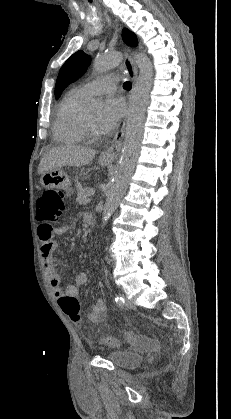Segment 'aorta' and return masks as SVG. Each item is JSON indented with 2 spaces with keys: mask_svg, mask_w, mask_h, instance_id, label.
<instances>
[{
  "mask_svg": "<svg viewBox=\"0 0 231 419\" xmlns=\"http://www.w3.org/2000/svg\"><path fill=\"white\" fill-rule=\"evenodd\" d=\"M121 58L122 54L117 51L99 55L94 60V71L100 74L115 68L119 65ZM134 60L139 68V76L129 99L125 138L112 186L107 194L102 214V227L107 224V221L114 213L119 200L128 187L135 169L143 137L146 108L154 73L152 63L145 54H136Z\"/></svg>",
  "mask_w": 231,
  "mask_h": 419,
  "instance_id": "762f6f07",
  "label": "aorta"
}]
</instances>
